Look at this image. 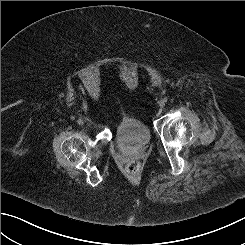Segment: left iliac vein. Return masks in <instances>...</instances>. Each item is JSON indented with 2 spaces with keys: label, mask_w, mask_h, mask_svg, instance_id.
I'll list each match as a JSON object with an SVG mask.
<instances>
[{
  "label": "left iliac vein",
  "mask_w": 245,
  "mask_h": 245,
  "mask_svg": "<svg viewBox=\"0 0 245 245\" xmlns=\"http://www.w3.org/2000/svg\"><path fill=\"white\" fill-rule=\"evenodd\" d=\"M164 105H165L164 101H160V102H159V106H160V107H164Z\"/></svg>",
  "instance_id": "1"
}]
</instances>
